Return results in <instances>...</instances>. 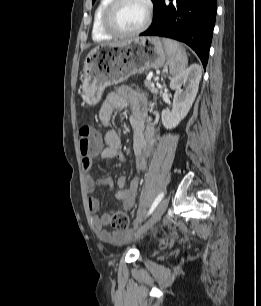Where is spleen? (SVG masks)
Instances as JSON below:
<instances>
[{"instance_id": "1", "label": "spleen", "mask_w": 261, "mask_h": 306, "mask_svg": "<svg viewBox=\"0 0 261 306\" xmlns=\"http://www.w3.org/2000/svg\"><path fill=\"white\" fill-rule=\"evenodd\" d=\"M163 44L168 55V63L171 75L180 74L188 64L185 49L176 41L164 38Z\"/></svg>"}]
</instances>
